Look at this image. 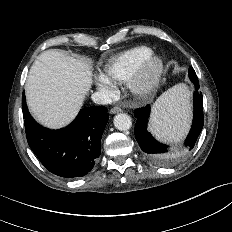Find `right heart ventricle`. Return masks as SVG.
Instances as JSON below:
<instances>
[{"mask_svg": "<svg viewBox=\"0 0 232 232\" xmlns=\"http://www.w3.org/2000/svg\"><path fill=\"white\" fill-rule=\"evenodd\" d=\"M153 53V49L145 45L120 52L106 62L104 75L113 82H127L139 65Z\"/></svg>", "mask_w": 232, "mask_h": 232, "instance_id": "e07e8e85", "label": "right heart ventricle"}]
</instances>
